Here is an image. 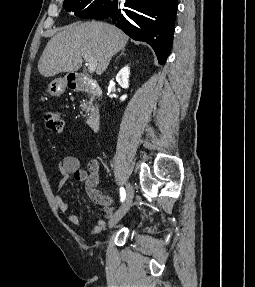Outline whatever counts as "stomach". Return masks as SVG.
I'll list each match as a JSON object with an SVG mask.
<instances>
[{"mask_svg": "<svg viewBox=\"0 0 255 287\" xmlns=\"http://www.w3.org/2000/svg\"><path fill=\"white\" fill-rule=\"evenodd\" d=\"M66 88V78H57V80H53V82H50L47 88V92L48 94H50V96H61V94H64Z\"/></svg>", "mask_w": 255, "mask_h": 287, "instance_id": "obj_1", "label": "stomach"}]
</instances>
